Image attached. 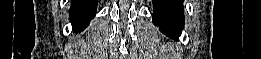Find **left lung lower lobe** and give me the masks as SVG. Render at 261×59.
Returning a JSON list of instances; mask_svg holds the SVG:
<instances>
[{
  "label": "left lung lower lobe",
  "mask_w": 261,
  "mask_h": 59,
  "mask_svg": "<svg viewBox=\"0 0 261 59\" xmlns=\"http://www.w3.org/2000/svg\"><path fill=\"white\" fill-rule=\"evenodd\" d=\"M153 22L166 36L178 40L184 25L183 0H152Z\"/></svg>",
  "instance_id": "obj_1"
}]
</instances>
